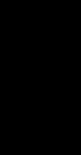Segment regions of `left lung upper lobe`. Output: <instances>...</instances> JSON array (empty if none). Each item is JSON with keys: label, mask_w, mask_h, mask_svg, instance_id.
Masks as SVG:
<instances>
[{"label": "left lung upper lobe", "mask_w": 81, "mask_h": 155, "mask_svg": "<svg viewBox=\"0 0 81 155\" xmlns=\"http://www.w3.org/2000/svg\"><path fill=\"white\" fill-rule=\"evenodd\" d=\"M46 57L56 70L58 77L68 95L67 109L80 113L79 91L81 89V58L69 48H53Z\"/></svg>", "instance_id": "1"}]
</instances>
